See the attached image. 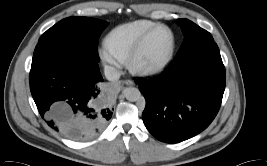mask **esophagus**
<instances>
[{
  "label": "esophagus",
  "instance_id": "obj_1",
  "mask_svg": "<svg viewBox=\"0 0 267 166\" xmlns=\"http://www.w3.org/2000/svg\"><path fill=\"white\" fill-rule=\"evenodd\" d=\"M124 83L127 85H133L134 84L133 81H131V80H126V81H124Z\"/></svg>",
  "mask_w": 267,
  "mask_h": 166
}]
</instances>
